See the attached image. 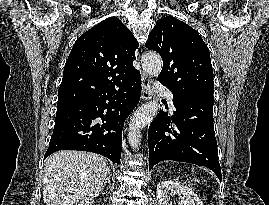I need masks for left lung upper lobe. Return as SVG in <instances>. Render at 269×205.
<instances>
[{"label": "left lung upper lobe", "instance_id": "5c2ea615", "mask_svg": "<svg viewBox=\"0 0 269 205\" xmlns=\"http://www.w3.org/2000/svg\"><path fill=\"white\" fill-rule=\"evenodd\" d=\"M146 47L161 55L163 68L158 81L172 94L214 98L209 49L192 27L172 16L164 17L150 32Z\"/></svg>", "mask_w": 269, "mask_h": 205}]
</instances>
